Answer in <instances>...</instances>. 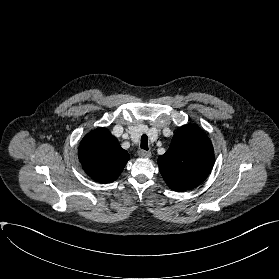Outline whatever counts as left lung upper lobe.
Listing matches in <instances>:
<instances>
[{"instance_id":"left-lung-upper-lobe-1","label":"left lung upper lobe","mask_w":279,"mask_h":279,"mask_svg":"<svg viewBox=\"0 0 279 279\" xmlns=\"http://www.w3.org/2000/svg\"><path fill=\"white\" fill-rule=\"evenodd\" d=\"M214 163L213 146L196 125H185L172 138L169 149L159 156L163 179L174 191H185L204 181Z\"/></svg>"}]
</instances>
